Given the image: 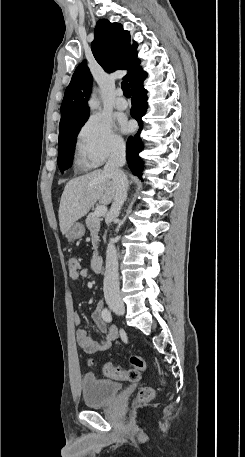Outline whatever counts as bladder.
I'll use <instances>...</instances> for the list:
<instances>
[{
	"mask_svg": "<svg viewBox=\"0 0 245 457\" xmlns=\"http://www.w3.org/2000/svg\"><path fill=\"white\" fill-rule=\"evenodd\" d=\"M85 406L105 405L113 395H118L120 383L112 380H99L92 375L82 379Z\"/></svg>",
	"mask_w": 245,
	"mask_h": 457,
	"instance_id": "bladder-1",
	"label": "bladder"
}]
</instances>
